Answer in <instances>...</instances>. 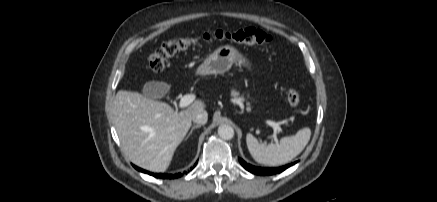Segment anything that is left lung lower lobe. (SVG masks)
Returning a JSON list of instances; mask_svg holds the SVG:
<instances>
[{
	"instance_id": "left-lung-lower-lobe-1",
	"label": "left lung lower lobe",
	"mask_w": 437,
	"mask_h": 202,
	"mask_svg": "<svg viewBox=\"0 0 437 202\" xmlns=\"http://www.w3.org/2000/svg\"><path fill=\"white\" fill-rule=\"evenodd\" d=\"M239 162L247 171L256 175H273V174L281 173L282 171L286 170L287 168H289L290 166L296 163L294 162L278 168H262V167H255L251 164H248L241 158H239Z\"/></svg>"
}]
</instances>
